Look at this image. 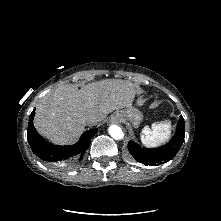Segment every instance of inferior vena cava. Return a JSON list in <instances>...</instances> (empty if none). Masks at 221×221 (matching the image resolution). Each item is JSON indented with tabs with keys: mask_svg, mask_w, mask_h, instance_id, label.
<instances>
[{
	"mask_svg": "<svg viewBox=\"0 0 221 221\" xmlns=\"http://www.w3.org/2000/svg\"><path fill=\"white\" fill-rule=\"evenodd\" d=\"M85 125H89V126H92V125H95L96 122L95 120L91 119V118H87L84 122Z\"/></svg>",
	"mask_w": 221,
	"mask_h": 221,
	"instance_id": "602c4592",
	"label": "inferior vena cava"
}]
</instances>
